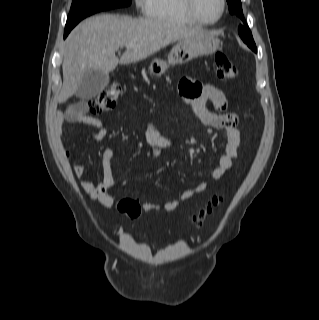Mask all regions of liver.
Here are the masks:
<instances>
[{
  "instance_id": "1",
  "label": "liver",
  "mask_w": 319,
  "mask_h": 320,
  "mask_svg": "<svg viewBox=\"0 0 319 320\" xmlns=\"http://www.w3.org/2000/svg\"><path fill=\"white\" fill-rule=\"evenodd\" d=\"M204 32L161 19L112 14L90 17L79 23L64 43L63 86L58 101L64 103L75 94L87 72L99 70L108 74L118 63L141 61L173 42ZM129 45L133 47L128 49ZM120 47L127 49L118 59L115 52Z\"/></svg>"
}]
</instances>
